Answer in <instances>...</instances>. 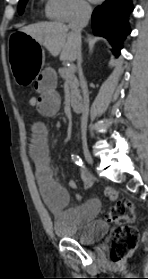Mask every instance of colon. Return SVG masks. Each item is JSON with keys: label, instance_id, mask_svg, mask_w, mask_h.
Segmentation results:
<instances>
[{"label": "colon", "instance_id": "obj_1", "mask_svg": "<svg viewBox=\"0 0 148 279\" xmlns=\"http://www.w3.org/2000/svg\"><path fill=\"white\" fill-rule=\"evenodd\" d=\"M28 105L36 108L38 97L31 95L28 98ZM135 218L133 203L126 199L118 201L106 215L108 222L118 224L111 237V258L115 262L128 257L138 244L139 231L133 225Z\"/></svg>", "mask_w": 148, "mask_h": 279}]
</instances>
